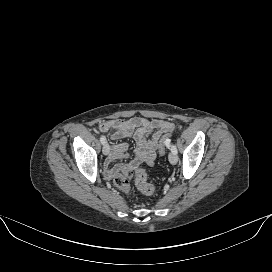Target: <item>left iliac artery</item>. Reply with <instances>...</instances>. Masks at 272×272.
I'll list each match as a JSON object with an SVG mask.
<instances>
[{
	"label": "left iliac artery",
	"mask_w": 272,
	"mask_h": 272,
	"mask_svg": "<svg viewBox=\"0 0 272 272\" xmlns=\"http://www.w3.org/2000/svg\"><path fill=\"white\" fill-rule=\"evenodd\" d=\"M171 151L174 154H177V148L174 145H171Z\"/></svg>",
	"instance_id": "44dca946"
}]
</instances>
